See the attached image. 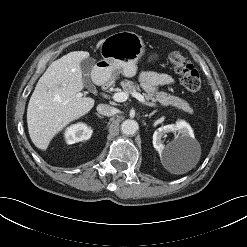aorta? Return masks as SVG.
<instances>
[{
  "label": "aorta",
  "mask_w": 247,
  "mask_h": 247,
  "mask_svg": "<svg viewBox=\"0 0 247 247\" xmlns=\"http://www.w3.org/2000/svg\"><path fill=\"white\" fill-rule=\"evenodd\" d=\"M139 129V125L135 120L127 119L121 124V132L125 135H133Z\"/></svg>",
  "instance_id": "1"
}]
</instances>
